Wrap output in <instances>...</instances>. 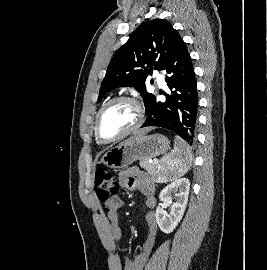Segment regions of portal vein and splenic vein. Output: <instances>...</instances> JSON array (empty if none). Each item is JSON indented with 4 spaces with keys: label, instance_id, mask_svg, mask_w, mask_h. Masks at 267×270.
Instances as JSON below:
<instances>
[{
    "label": "portal vein and splenic vein",
    "instance_id": "18ae733b",
    "mask_svg": "<svg viewBox=\"0 0 267 270\" xmlns=\"http://www.w3.org/2000/svg\"><path fill=\"white\" fill-rule=\"evenodd\" d=\"M154 162H155V163H158V161H157V160H154Z\"/></svg>",
    "mask_w": 267,
    "mask_h": 270
}]
</instances>
